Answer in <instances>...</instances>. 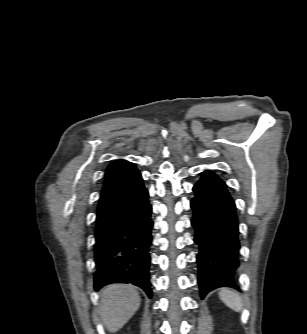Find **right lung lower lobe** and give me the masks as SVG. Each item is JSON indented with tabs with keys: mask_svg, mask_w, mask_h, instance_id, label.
Masks as SVG:
<instances>
[{
	"mask_svg": "<svg viewBox=\"0 0 307 334\" xmlns=\"http://www.w3.org/2000/svg\"><path fill=\"white\" fill-rule=\"evenodd\" d=\"M152 207L141 174L100 198L95 228L96 290L131 283L152 296L149 280Z\"/></svg>",
	"mask_w": 307,
	"mask_h": 334,
	"instance_id": "right-lung-lower-lobe-1",
	"label": "right lung lower lobe"
}]
</instances>
